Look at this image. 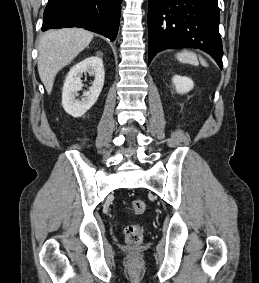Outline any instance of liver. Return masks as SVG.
Here are the masks:
<instances>
[{"label": "liver", "instance_id": "liver-1", "mask_svg": "<svg viewBox=\"0 0 259 283\" xmlns=\"http://www.w3.org/2000/svg\"><path fill=\"white\" fill-rule=\"evenodd\" d=\"M93 39V33L80 28H64L45 33L38 45V73L48 94L57 73L68 65Z\"/></svg>", "mask_w": 259, "mask_h": 283}]
</instances>
